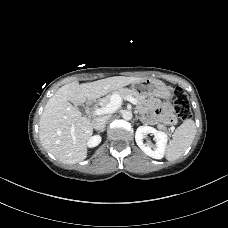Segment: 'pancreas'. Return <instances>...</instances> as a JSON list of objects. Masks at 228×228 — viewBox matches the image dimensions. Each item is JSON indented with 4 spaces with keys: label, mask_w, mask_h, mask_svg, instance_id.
<instances>
[{
    "label": "pancreas",
    "mask_w": 228,
    "mask_h": 228,
    "mask_svg": "<svg viewBox=\"0 0 228 228\" xmlns=\"http://www.w3.org/2000/svg\"><path fill=\"white\" fill-rule=\"evenodd\" d=\"M114 95H118L122 99H125V97H127V96L133 97V98H135L137 100V103L139 105L142 104L144 102V100H145V96L140 94L139 92H137L135 90L128 89V88H121V89H119L117 91H114L111 94L105 96L104 98H102L100 100V104L102 106L107 105L110 102L111 97L114 96ZM157 128L160 129V130H163V131H167L166 126L163 125V124H158Z\"/></svg>",
    "instance_id": "pancreas-1"
}]
</instances>
